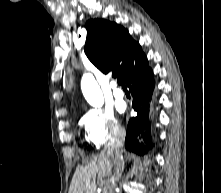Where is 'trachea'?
Here are the masks:
<instances>
[{
	"label": "trachea",
	"mask_w": 221,
	"mask_h": 193,
	"mask_svg": "<svg viewBox=\"0 0 221 193\" xmlns=\"http://www.w3.org/2000/svg\"><path fill=\"white\" fill-rule=\"evenodd\" d=\"M117 82H118L119 85H122V87H125V85L123 84V82L120 78L117 79Z\"/></svg>",
	"instance_id": "3493384b"
}]
</instances>
